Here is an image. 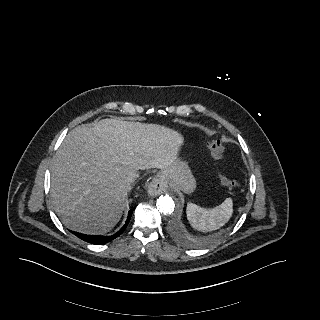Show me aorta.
I'll return each mask as SVG.
<instances>
[{"label":"aorta","instance_id":"762f6f07","mask_svg":"<svg viewBox=\"0 0 320 320\" xmlns=\"http://www.w3.org/2000/svg\"><path fill=\"white\" fill-rule=\"evenodd\" d=\"M157 208L159 212L167 215L174 212L175 202L174 198L170 195H162L157 199Z\"/></svg>","mask_w":320,"mask_h":320}]
</instances>
